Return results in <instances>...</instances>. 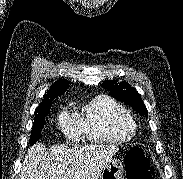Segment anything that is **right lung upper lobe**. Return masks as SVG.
I'll use <instances>...</instances> for the list:
<instances>
[{"instance_id": "right-lung-upper-lobe-1", "label": "right lung upper lobe", "mask_w": 183, "mask_h": 179, "mask_svg": "<svg viewBox=\"0 0 183 179\" xmlns=\"http://www.w3.org/2000/svg\"><path fill=\"white\" fill-rule=\"evenodd\" d=\"M69 85L68 80L61 79L51 85L50 89L44 96L42 103L39 106H44L48 104H52V101L57 97L64 94Z\"/></svg>"}]
</instances>
